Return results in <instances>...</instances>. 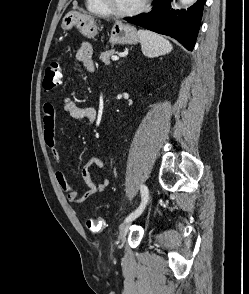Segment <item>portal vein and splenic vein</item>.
<instances>
[{"instance_id":"1","label":"portal vein and splenic vein","mask_w":249,"mask_h":294,"mask_svg":"<svg viewBox=\"0 0 249 294\" xmlns=\"http://www.w3.org/2000/svg\"><path fill=\"white\" fill-rule=\"evenodd\" d=\"M112 61H117L118 59H119V57L118 56H112Z\"/></svg>"}]
</instances>
